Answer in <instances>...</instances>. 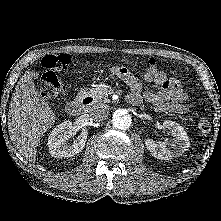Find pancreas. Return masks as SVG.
Returning <instances> with one entry per match:
<instances>
[{
    "instance_id": "1",
    "label": "pancreas",
    "mask_w": 221,
    "mask_h": 221,
    "mask_svg": "<svg viewBox=\"0 0 221 221\" xmlns=\"http://www.w3.org/2000/svg\"><path fill=\"white\" fill-rule=\"evenodd\" d=\"M111 91L105 84H98L89 89L86 93L94 98L96 102H109L108 95Z\"/></svg>"
}]
</instances>
